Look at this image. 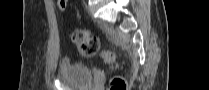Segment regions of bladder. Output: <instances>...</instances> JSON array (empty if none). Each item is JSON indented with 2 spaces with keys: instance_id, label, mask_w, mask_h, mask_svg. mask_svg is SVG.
Returning a JSON list of instances; mask_svg holds the SVG:
<instances>
[{
  "instance_id": "31cf9c89",
  "label": "bladder",
  "mask_w": 209,
  "mask_h": 90,
  "mask_svg": "<svg viewBox=\"0 0 209 90\" xmlns=\"http://www.w3.org/2000/svg\"><path fill=\"white\" fill-rule=\"evenodd\" d=\"M59 74L61 79L79 88L87 89L92 83L90 68L83 63H73L67 57L60 61Z\"/></svg>"
}]
</instances>
